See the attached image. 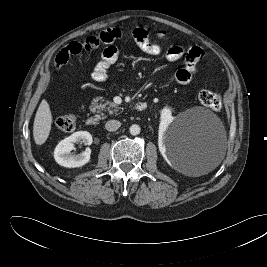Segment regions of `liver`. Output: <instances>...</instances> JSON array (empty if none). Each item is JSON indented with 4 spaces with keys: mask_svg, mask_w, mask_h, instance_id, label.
<instances>
[{
    "mask_svg": "<svg viewBox=\"0 0 267 267\" xmlns=\"http://www.w3.org/2000/svg\"><path fill=\"white\" fill-rule=\"evenodd\" d=\"M52 120L49 104L43 99L36 112L33 125V137L37 145H42L49 137Z\"/></svg>",
    "mask_w": 267,
    "mask_h": 267,
    "instance_id": "6515ba94",
    "label": "liver"
}]
</instances>
